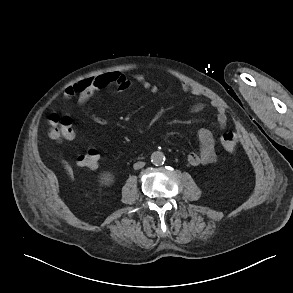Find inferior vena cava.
<instances>
[{
  "label": "inferior vena cava",
  "mask_w": 293,
  "mask_h": 293,
  "mask_svg": "<svg viewBox=\"0 0 293 293\" xmlns=\"http://www.w3.org/2000/svg\"><path fill=\"white\" fill-rule=\"evenodd\" d=\"M144 165H145V162H136V163L133 165V168H134L135 170H137V169H140V168L144 167Z\"/></svg>",
  "instance_id": "1"
}]
</instances>
